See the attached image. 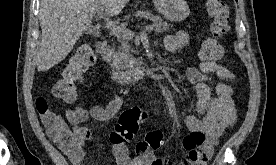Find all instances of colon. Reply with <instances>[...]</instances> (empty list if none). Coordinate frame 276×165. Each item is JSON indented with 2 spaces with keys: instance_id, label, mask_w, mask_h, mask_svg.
Returning <instances> with one entry per match:
<instances>
[{
  "instance_id": "5ec220e1",
  "label": "colon",
  "mask_w": 276,
  "mask_h": 165,
  "mask_svg": "<svg viewBox=\"0 0 276 165\" xmlns=\"http://www.w3.org/2000/svg\"><path fill=\"white\" fill-rule=\"evenodd\" d=\"M206 11L211 19L210 36L203 42L200 57L204 61H216L223 56L222 39L229 31L230 11L224 0H206ZM94 63V54L89 46H81L70 57L60 78L53 85L55 97L65 102H73L79 94V86L83 80V73ZM39 115L45 118L50 127V136L65 146H72L75 135L64 125L61 117L51 111L45 99L36 101ZM146 118V112L138 107L130 108L122 113L119 122L110 135L113 144L127 143L133 139L139 129V124ZM206 141L201 132H191L183 138V148L192 154ZM163 142V134L159 130L148 131L137 145L140 153H153Z\"/></svg>"
}]
</instances>
